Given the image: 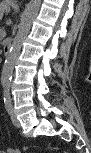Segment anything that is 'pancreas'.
Instances as JSON below:
<instances>
[{
	"label": "pancreas",
	"mask_w": 91,
	"mask_h": 153,
	"mask_svg": "<svg viewBox=\"0 0 91 153\" xmlns=\"http://www.w3.org/2000/svg\"><path fill=\"white\" fill-rule=\"evenodd\" d=\"M10 8L9 5L7 3H2L1 5V15H3V13L5 12H9Z\"/></svg>",
	"instance_id": "obj_1"
}]
</instances>
